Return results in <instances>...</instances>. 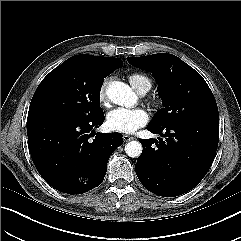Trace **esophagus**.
<instances>
[{
    "instance_id": "1",
    "label": "esophagus",
    "mask_w": 241,
    "mask_h": 241,
    "mask_svg": "<svg viewBox=\"0 0 241 241\" xmlns=\"http://www.w3.org/2000/svg\"><path fill=\"white\" fill-rule=\"evenodd\" d=\"M123 140H124V142H128V141H131V140H134L135 139V137H133V136H130V135H123Z\"/></svg>"
}]
</instances>
